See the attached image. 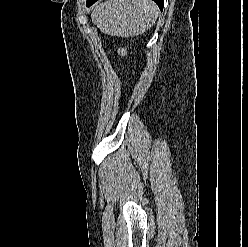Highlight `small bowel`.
Wrapping results in <instances>:
<instances>
[{
    "mask_svg": "<svg viewBox=\"0 0 248 247\" xmlns=\"http://www.w3.org/2000/svg\"><path fill=\"white\" fill-rule=\"evenodd\" d=\"M120 54L121 55H124L125 54V51L124 50H120Z\"/></svg>",
    "mask_w": 248,
    "mask_h": 247,
    "instance_id": "1",
    "label": "small bowel"
}]
</instances>
